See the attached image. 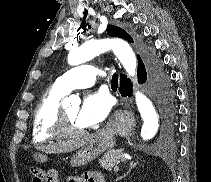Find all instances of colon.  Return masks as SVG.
Listing matches in <instances>:
<instances>
[{"label": "colon", "instance_id": "obj_1", "mask_svg": "<svg viewBox=\"0 0 211 182\" xmlns=\"http://www.w3.org/2000/svg\"><path fill=\"white\" fill-rule=\"evenodd\" d=\"M31 173L37 182H56V173L54 169L32 168Z\"/></svg>", "mask_w": 211, "mask_h": 182}]
</instances>
